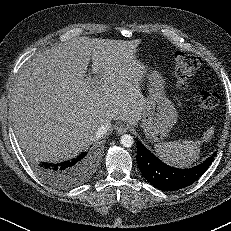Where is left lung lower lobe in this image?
Returning a JSON list of instances; mask_svg holds the SVG:
<instances>
[{
  "instance_id": "1",
  "label": "left lung lower lobe",
  "mask_w": 231,
  "mask_h": 231,
  "mask_svg": "<svg viewBox=\"0 0 231 231\" xmlns=\"http://www.w3.org/2000/svg\"><path fill=\"white\" fill-rule=\"evenodd\" d=\"M215 156L216 152L195 167L177 169L163 163L137 141L136 160L139 169L148 182L162 191L178 190L191 185L205 173Z\"/></svg>"
}]
</instances>
